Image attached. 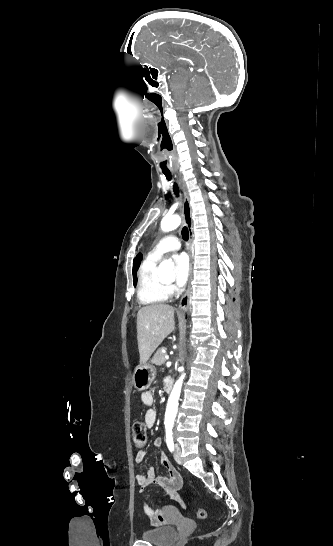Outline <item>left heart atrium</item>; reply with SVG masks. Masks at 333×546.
Returning <instances> with one entry per match:
<instances>
[{
    "mask_svg": "<svg viewBox=\"0 0 333 546\" xmlns=\"http://www.w3.org/2000/svg\"><path fill=\"white\" fill-rule=\"evenodd\" d=\"M173 261L176 270V284L183 286L190 273L189 257L185 253H180L173 257Z\"/></svg>",
    "mask_w": 333,
    "mask_h": 546,
    "instance_id": "obj_1",
    "label": "left heart atrium"
}]
</instances>
